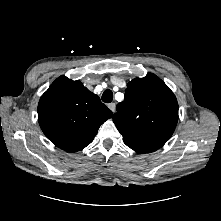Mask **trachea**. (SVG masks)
<instances>
[{"mask_svg":"<svg viewBox=\"0 0 221 221\" xmlns=\"http://www.w3.org/2000/svg\"><path fill=\"white\" fill-rule=\"evenodd\" d=\"M113 100V92L111 90H105L102 94V101L105 103H111Z\"/></svg>","mask_w":221,"mask_h":221,"instance_id":"trachea-1","label":"trachea"}]
</instances>
